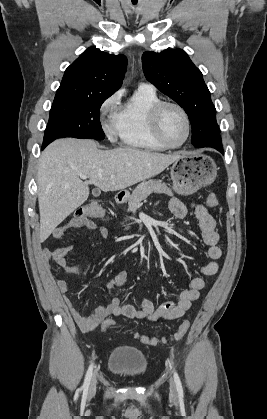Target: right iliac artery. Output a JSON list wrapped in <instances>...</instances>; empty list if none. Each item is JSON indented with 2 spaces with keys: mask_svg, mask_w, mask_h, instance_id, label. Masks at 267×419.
Masks as SVG:
<instances>
[{
  "mask_svg": "<svg viewBox=\"0 0 267 419\" xmlns=\"http://www.w3.org/2000/svg\"><path fill=\"white\" fill-rule=\"evenodd\" d=\"M92 373H93V364H91L87 370L86 376H85V380H84V384H83V393L84 395H87L88 389H89V385H90V381H91V377H92Z\"/></svg>",
  "mask_w": 267,
  "mask_h": 419,
  "instance_id": "right-iliac-artery-1",
  "label": "right iliac artery"
}]
</instances>
